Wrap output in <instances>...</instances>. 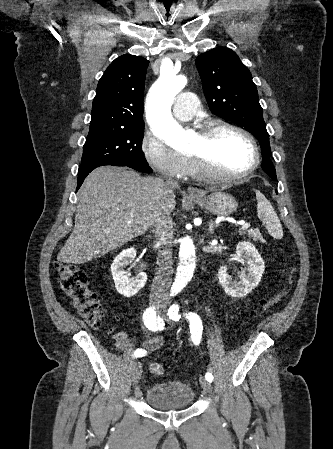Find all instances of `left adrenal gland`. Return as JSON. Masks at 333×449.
Masks as SVG:
<instances>
[{
	"instance_id": "1",
	"label": "left adrenal gland",
	"mask_w": 333,
	"mask_h": 449,
	"mask_svg": "<svg viewBox=\"0 0 333 449\" xmlns=\"http://www.w3.org/2000/svg\"><path fill=\"white\" fill-rule=\"evenodd\" d=\"M216 227H217V225H216L213 221H211V222L209 223V227H208L209 233L213 234L214 228H216Z\"/></svg>"
}]
</instances>
